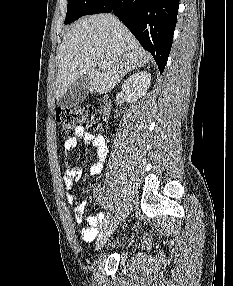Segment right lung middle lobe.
<instances>
[{
  "mask_svg": "<svg viewBox=\"0 0 233 286\" xmlns=\"http://www.w3.org/2000/svg\"><path fill=\"white\" fill-rule=\"evenodd\" d=\"M97 2L98 0H68L65 24L84 16Z\"/></svg>",
  "mask_w": 233,
  "mask_h": 286,
  "instance_id": "dd1d6c3e",
  "label": "right lung middle lobe"
}]
</instances>
